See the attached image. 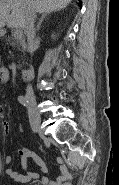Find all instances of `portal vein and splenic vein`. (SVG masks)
I'll use <instances>...</instances> for the list:
<instances>
[{"label": "portal vein and splenic vein", "instance_id": "obj_1", "mask_svg": "<svg viewBox=\"0 0 119 185\" xmlns=\"http://www.w3.org/2000/svg\"><path fill=\"white\" fill-rule=\"evenodd\" d=\"M14 34H15V37L18 38L22 35V31L20 29H16Z\"/></svg>", "mask_w": 119, "mask_h": 185}]
</instances>
